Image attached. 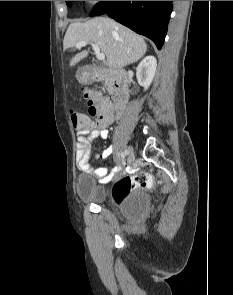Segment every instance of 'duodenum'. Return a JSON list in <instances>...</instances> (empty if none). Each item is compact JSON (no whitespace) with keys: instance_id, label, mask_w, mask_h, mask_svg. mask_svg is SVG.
<instances>
[{"instance_id":"1","label":"duodenum","mask_w":233,"mask_h":295,"mask_svg":"<svg viewBox=\"0 0 233 295\" xmlns=\"http://www.w3.org/2000/svg\"><path fill=\"white\" fill-rule=\"evenodd\" d=\"M88 76L94 81L104 79L110 80L111 91L115 104V112L117 115L121 114L125 110L129 99L127 74L121 70H107L92 67L88 71Z\"/></svg>"}]
</instances>
